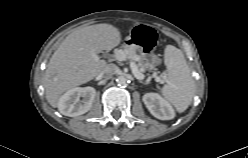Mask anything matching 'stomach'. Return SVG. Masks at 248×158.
Wrapping results in <instances>:
<instances>
[{
  "instance_id": "0dacf381",
  "label": "stomach",
  "mask_w": 248,
  "mask_h": 158,
  "mask_svg": "<svg viewBox=\"0 0 248 158\" xmlns=\"http://www.w3.org/2000/svg\"><path fill=\"white\" fill-rule=\"evenodd\" d=\"M143 59L149 63V66L146 70H153L156 66V61L153 54H144Z\"/></svg>"
}]
</instances>
